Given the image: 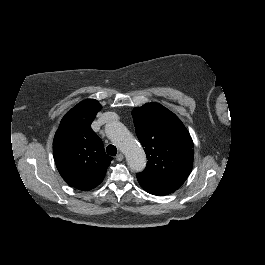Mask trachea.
<instances>
[{"instance_id": "obj_1", "label": "trachea", "mask_w": 265, "mask_h": 265, "mask_svg": "<svg viewBox=\"0 0 265 265\" xmlns=\"http://www.w3.org/2000/svg\"><path fill=\"white\" fill-rule=\"evenodd\" d=\"M106 151L111 156H115L117 154V148L114 145H108Z\"/></svg>"}]
</instances>
